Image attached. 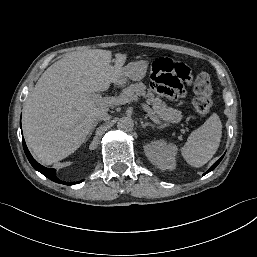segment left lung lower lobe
<instances>
[{
	"instance_id": "1",
	"label": "left lung lower lobe",
	"mask_w": 257,
	"mask_h": 257,
	"mask_svg": "<svg viewBox=\"0 0 257 257\" xmlns=\"http://www.w3.org/2000/svg\"><path fill=\"white\" fill-rule=\"evenodd\" d=\"M223 156H224V155H223ZM223 156H222L217 162H215V163L212 165V167H211L205 174H207L208 172L212 171V170L220 163V161L222 160ZM205 174H204V175H205Z\"/></svg>"
}]
</instances>
